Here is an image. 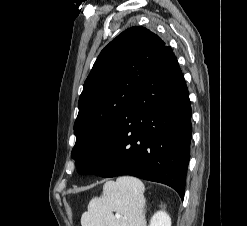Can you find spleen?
<instances>
[{
    "label": "spleen",
    "instance_id": "obj_1",
    "mask_svg": "<svg viewBox=\"0 0 247 226\" xmlns=\"http://www.w3.org/2000/svg\"><path fill=\"white\" fill-rule=\"evenodd\" d=\"M145 186L135 177L107 181L101 197L91 199L82 214V226H145ZM113 211L121 214L120 218Z\"/></svg>",
    "mask_w": 247,
    "mask_h": 226
}]
</instances>
